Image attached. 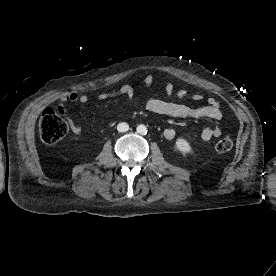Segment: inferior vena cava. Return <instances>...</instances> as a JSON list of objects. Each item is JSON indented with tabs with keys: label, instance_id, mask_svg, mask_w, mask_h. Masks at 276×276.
Instances as JSON below:
<instances>
[{
	"label": "inferior vena cava",
	"instance_id": "inferior-vena-cava-1",
	"mask_svg": "<svg viewBox=\"0 0 276 276\" xmlns=\"http://www.w3.org/2000/svg\"><path fill=\"white\" fill-rule=\"evenodd\" d=\"M119 132H126L129 130V125L126 122L119 123L117 126Z\"/></svg>",
	"mask_w": 276,
	"mask_h": 276
}]
</instances>
